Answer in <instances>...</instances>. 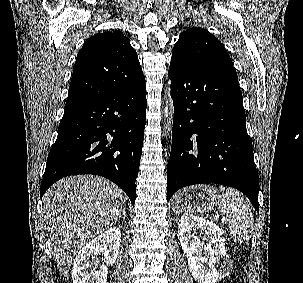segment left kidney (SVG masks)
Here are the masks:
<instances>
[{"label":"left kidney","mask_w":303,"mask_h":283,"mask_svg":"<svg viewBox=\"0 0 303 283\" xmlns=\"http://www.w3.org/2000/svg\"><path fill=\"white\" fill-rule=\"evenodd\" d=\"M200 230L207 237L204 247L195 235ZM178 236L192 276L200 283H216L231 269L222 230L208 220L193 215H184L179 220Z\"/></svg>","instance_id":"1"}]
</instances>
